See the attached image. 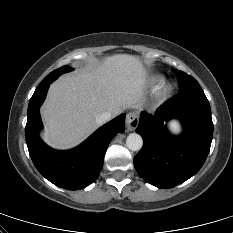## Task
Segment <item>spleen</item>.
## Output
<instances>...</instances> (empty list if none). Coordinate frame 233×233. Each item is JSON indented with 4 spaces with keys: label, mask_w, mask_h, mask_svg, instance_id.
I'll return each instance as SVG.
<instances>
[{
    "label": "spleen",
    "mask_w": 233,
    "mask_h": 233,
    "mask_svg": "<svg viewBox=\"0 0 233 233\" xmlns=\"http://www.w3.org/2000/svg\"><path fill=\"white\" fill-rule=\"evenodd\" d=\"M171 129H172L174 132H178V131L180 130L179 124H178L177 122L171 123Z\"/></svg>",
    "instance_id": "1"
}]
</instances>
